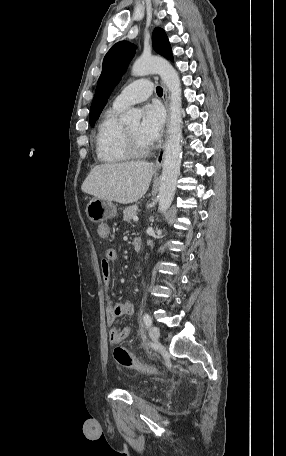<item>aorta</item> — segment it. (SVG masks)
<instances>
[{
	"label": "aorta",
	"instance_id": "aorta-1",
	"mask_svg": "<svg viewBox=\"0 0 286 456\" xmlns=\"http://www.w3.org/2000/svg\"><path fill=\"white\" fill-rule=\"evenodd\" d=\"M157 73L170 93V125L165 148L163 170L158 193L159 212L165 213L174 199L177 179L180 173L182 157V91L179 75L173 66L160 57L138 58L132 67L135 77ZM142 112L139 109H129L124 116L126 123H139Z\"/></svg>",
	"mask_w": 286,
	"mask_h": 456
}]
</instances>
